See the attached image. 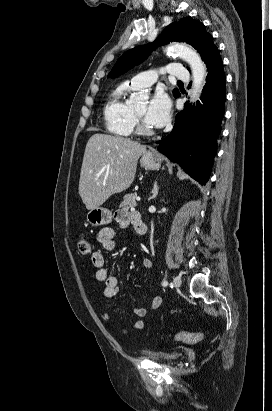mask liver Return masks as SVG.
Listing matches in <instances>:
<instances>
[{
    "instance_id": "1",
    "label": "liver",
    "mask_w": 272,
    "mask_h": 411,
    "mask_svg": "<svg viewBox=\"0 0 272 411\" xmlns=\"http://www.w3.org/2000/svg\"><path fill=\"white\" fill-rule=\"evenodd\" d=\"M146 146L128 138L92 135L85 148L79 195L88 210L102 205L111 195L130 187L139 157Z\"/></svg>"
}]
</instances>
